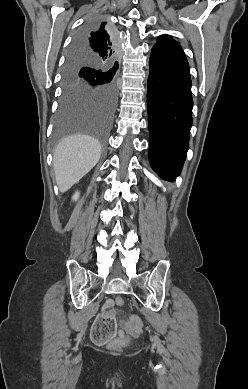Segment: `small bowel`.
<instances>
[{
  "instance_id": "1",
  "label": "small bowel",
  "mask_w": 248,
  "mask_h": 389,
  "mask_svg": "<svg viewBox=\"0 0 248 389\" xmlns=\"http://www.w3.org/2000/svg\"><path fill=\"white\" fill-rule=\"evenodd\" d=\"M114 305V301L112 299H107L104 303L103 315L106 317H113L114 312L110 310V308ZM122 326L126 332L133 336H138L140 334V321L136 316H128L122 321ZM122 334V331H120Z\"/></svg>"
}]
</instances>
